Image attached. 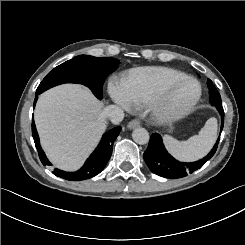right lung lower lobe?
I'll return each instance as SVG.
<instances>
[{
    "label": "right lung lower lobe",
    "instance_id": "98d812e1",
    "mask_svg": "<svg viewBox=\"0 0 245 245\" xmlns=\"http://www.w3.org/2000/svg\"><path fill=\"white\" fill-rule=\"evenodd\" d=\"M38 94L35 95L34 105L37 101ZM121 131V127H116L110 130L109 132L103 135V138L96 148V150L91 154V156L87 159L83 167L76 172H65L59 169H54L53 174L56 176L70 180V181H81L90 179L100 173L105 165L107 164L110 156L112 154L113 143L116 140L117 136ZM32 135L35 142V146L37 148L39 158L44 166L51 165L49 160L46 158L45 153L43 152L38 133L36 131L34 120L32 119Z\"/></svg>",
    "mask_w": 245,
    "mask_h": 245
}]
</instances>
